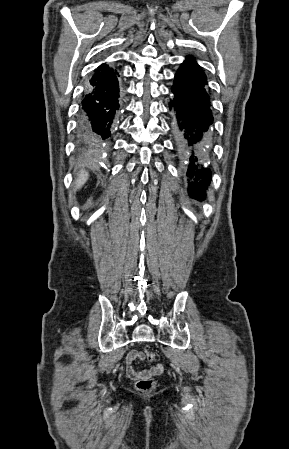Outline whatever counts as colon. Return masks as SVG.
Here are the masks:
<instances>
[{"label": "colon", "instance_id": "5ec220e1", "mask_svg": "<svg viewBox=\"0 0 289 449\" xmlns=\"http://www.w3.org/2000/svg\"><path fill=\"white\" fill-rule=\"evenodd\" d=\"M145 357L149 361L155 359V353L152 351H145ZM136 387L140 391H151L155 387V381L151 376L138 378L136 381Z\"/></svg>", "mask_w": 289, "mask_h": 449}]
</instances>
